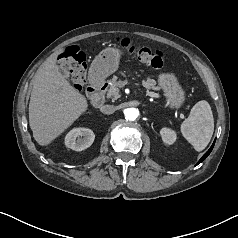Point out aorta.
<instances>
[{"label":"aorta","mask_w":238,"mask_h":238,"mask_svg":"<svg viewBox=\"0 0 238 238\" xmlns=\"http://www.w3.org/2000/svg\"><path fill=\"white\" fill-rule=\"evenodd\" d=\"M126 120L134 121L139 116V111L136 108H128L124 112Z\"/></svg>","instance_id":"obj_1"}]
</instances>
